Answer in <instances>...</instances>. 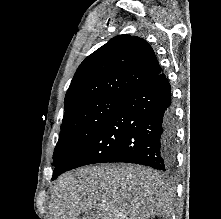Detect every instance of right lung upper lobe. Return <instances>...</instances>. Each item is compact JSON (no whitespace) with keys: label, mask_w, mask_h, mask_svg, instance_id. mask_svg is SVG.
<instances>
[{"label":"right lung upper lobe","mask_w":221,"mask_h":219,"mask_svg":"<svg viewBox=\"0 0 221 219\" xmlns=\"http://www.w3.org/2000/svg\"><path fill=\"white\" fill-rule=\"evenodd\" d=\"M160 72L146 41L126 34L116 36L81 63L66 93L65 111L86 101L122 99Z\"/></svg>","instance_id":"cb5924a9"}]
</instances>
